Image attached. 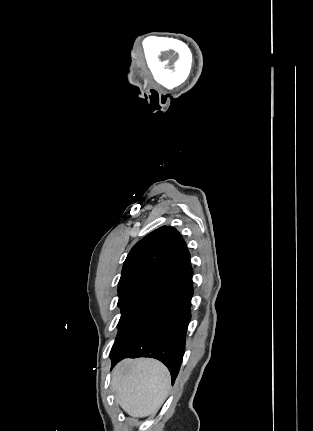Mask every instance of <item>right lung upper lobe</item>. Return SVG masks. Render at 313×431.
I'll return each mask as SVG.
<instances>
[{
	"label": "right lung upper lobe",
	"mask_w": 313,
	"mask_h": 431,
	"mask_svg": "<svg viewBox=\"0 0 313 431\" xmlns=\"http://www.w3.org/2000/svg\"><path fill=\"white\" fill-rule=\"evenodd\" d=\"M190 259L179 232L162 226L138 241L129 252L118 283L119 297H148Z\"/></svg>",
	"instance_id": "cb5924a9"
}]
</instances>
